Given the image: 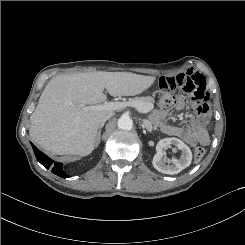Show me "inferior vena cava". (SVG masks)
<instances>
[{
  "mask_svg": "<svg viewBox=\"0 0 245 245\" xmlns=\"http://www.w3.org/2000/svg\"><path fill=\"white\" fill-rule=\"evenodd\" d=\"M112 116H113V113L107 114V115L102 119L100 126H101V125H104V123H105L108 119H110Z\"/></svg>",
  "mask_w": 245,
  "mask_h": 245,
  "instance_id": "obj_1",
  "label": "inferior vena cava"
}]
</instances>
